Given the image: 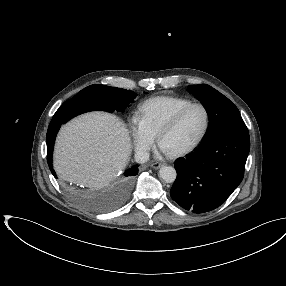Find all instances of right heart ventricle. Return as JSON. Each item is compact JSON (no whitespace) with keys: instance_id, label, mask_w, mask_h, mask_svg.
I'll return each instance as SVG.
<instances>
[{"instance_id":"1","label":"right heart ventricle","mask_w":286,"mask_h":286,"mask_svg":"<svg viewBox=\"0 0 286 286\" xmlns=\"http://www.w3.org/2000/svg\"><path fill=\"white\" fill-rule=\"evenodd\" d=\"M190 103H192L190 99L178 96L161 95L152 97L140 106L139 118L148 131L156 136L166 121L179 109Z\"/></svg>"}]
</instances>
